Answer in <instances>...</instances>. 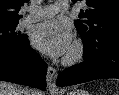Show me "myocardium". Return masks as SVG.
<instances>
[{"instance_id": "myocardium-1", "label": "myocardium", "mask_w": 119, "mask_h": 95, "mask_svg": "<svg viewBox=\"0 0 119 95\" xmlns=\"http://www.w3.org/2000/svg\"><path fill=\"white\" fill-rule=\"evenodd\" d=\"M85 55V45L80 39H76L69 52L63 59L65 65L71 66L80 63Z\"/></svg>"}]
</instances>
